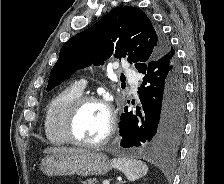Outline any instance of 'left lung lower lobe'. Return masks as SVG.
<instances>
[{"instance_id": "obj_1", "label": "left lung lower lobe", "mask_w": 224, "mask_h": 184, "mask_svg": "<svg viewBox=\"0 0 224 184\" xmlns=\"http://www.w3.org/2000/svg\"><path fill=\"white\" fill-rule=\"evenodd\" d=\"M144 74L138 88L141 107L125 109L119 123L123 148L143 147L164 155L174 150L184 127L185 84L173 48L138 70Z\"/></svg>"}]
</instances>
